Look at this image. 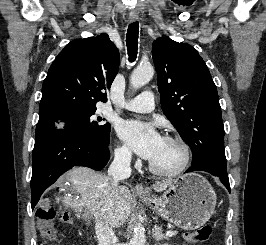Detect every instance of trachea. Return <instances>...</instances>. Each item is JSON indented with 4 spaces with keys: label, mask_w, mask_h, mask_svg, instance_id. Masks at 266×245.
Masks as SVG:
<instances>
[{
    "label": "trachea",
    "mask_w": 266,
    "mask_h": 245,
    "mask_svg": "<svg viewBox=\"0 0 266 245\" xmlns=\"http://www.w3.org/2000/svg\"><path fill=\"white\" fill-rule=\"evenodd\" d=\"M138 34H139L138 23H131L128 27L126 35V44L130 61H134L137 56Z\"/></svg>",
    "instance_id": "1"
}]
</instances>
